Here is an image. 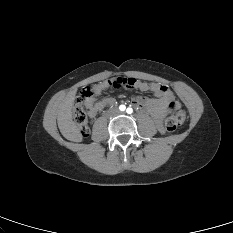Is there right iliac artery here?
I'll use <instances>...</instances> for the list:
<instances>
[{
    "label": "right iliac artery",
    "instance_id": "right-iliac-artery-1",
    "mask_svg": "<svg viewBox=\"0 0 233 233\" xmlns=\"http://www.w3.org/2000/svg\"><path fill=\"white\" fill-rule=\"evenodd\" d=\"M120 111H124L126 109L125 105H120L119 107Z\"/></svg>",
    "mask_w": 233,
    "mask_h": 233
}]
</instances>
